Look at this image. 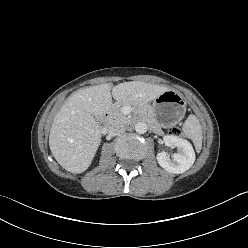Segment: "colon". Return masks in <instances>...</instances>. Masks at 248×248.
<instances>
[{
	"mask_svg": "<svg viewBox=\"0 0 248 248\" xmlns=\"http://www.w3.org/2000/svg\"><path fill=\"white\" fill-rule=\"evenodd\" d=\"M172 133L179 134L180 133V128L178 126H174L171 129Z\"/></svg>",
	"mask_w": 248,
	"mask_h": 248,
	"instance_id": "obj_1",
	"label": "colon"
}]
</instances>
